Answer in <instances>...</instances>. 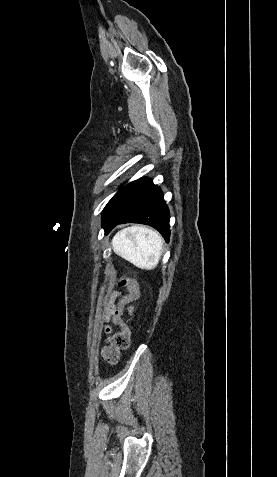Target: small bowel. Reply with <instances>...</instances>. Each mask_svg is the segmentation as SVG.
<instances>
[{
  "label": "small bowel",
  "instance_id": "obj_1",
  "mask_svg": "<svg viewBox=\"0 0 277 477\" xmlns=\"http://www.w3.org/2000/svg\"><path fill=\"white\" fill-rule=\"evenodd\" d=\"M125 297V295H121L119 294L118 292H114L111 296V299L109 301V303L107 304V307H106V310H105V320L106 322L108 323H111V320H112V312L113 310H115L116 308V303H115V300L118 299L119 300H122L123 298ZM130 300V299H129ZM131 305L132 303L130 302V305L127 306L129 309H131ZM124 323V321H123ZM122 326V325H121ZM120 326V327H121ZM105 331L107 334H110L111 333V327L110 326H105Z\"/></svg>",
  "mask_w": 277,
  "mask_h": 477
}]
</instances>
